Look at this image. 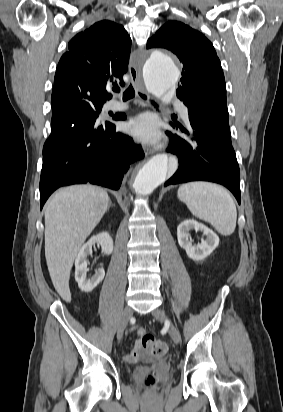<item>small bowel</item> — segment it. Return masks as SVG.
<instances>
[{
  "mask_svg": "<svg viewBox=\"0 0 283 412\" xmlns=\"http://www.w3.org/2000/svg\"><path fill=\"white\" fill-rule=\"evenodd\" d=\"M137 329V326L132 327V330ZM138 335H143L145 332L142 329L137 330ZM146 354L143 350L141 340H137L133 350L125 356V361L128 363L136 362L139 359L146 358Z\"/></svg>",
  "mask_w": 283,
  "mask_h": 412,
  "instance_id": "c3829d8e",
  "label": "small bowel"
}]
</instances>
